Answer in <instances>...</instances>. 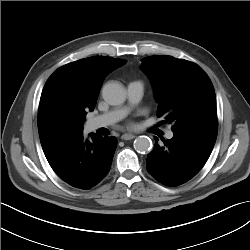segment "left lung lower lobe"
<instances>
[{
    "instance_id": "0a47b994",
    "label": "left lung lower lobe",
    "mask_w": 250,
    "mask_h": 250,
    "mask_svg": "<svg viewBox=\"0 0 250 250\" xmlns=\"http://www.w3.org/2000/svg\"><path fill=\"white\" fill-rule=\"evenodd\" d=\"M218 129H196L173 132L172 139L156 138L154 150L148 154L147 171L167 186L181 185L194 177L209 158Z\"/></svg>"
}]
</instances>
